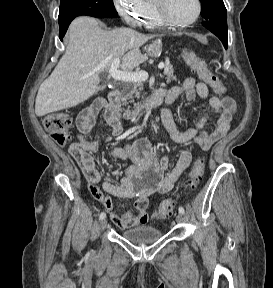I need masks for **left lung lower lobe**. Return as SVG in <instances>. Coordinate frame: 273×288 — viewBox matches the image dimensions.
Returning a JSON list of instances; mask_svg holds the SVG:
<instances>
[{
    "mask_svg": "<svg viewBox=\"0 0 273 288\" xmlns=\"http://www.w3.org/2000/svg\"><path fill=\"white\" fill-rule=\"evenodd\" d=\"M207 29H209L213 34H215L223 43L224 47L227 49V21L221 23H215L212 25H206L205 22L202 23Z\"/></svg>",
    "mask_w": 273,
    "mask_h": 288,
    "instance_id": "obj_1",
    "label": "left lung lower lobe"
}]
</instances>
